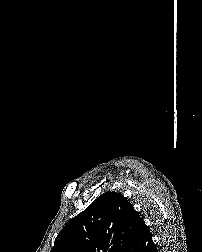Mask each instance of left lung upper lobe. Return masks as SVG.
Wrapping results in <instances>:
<instances>
[{"label": "left lung upper lobe", "mask_w": 202, "mask_h": 252, "mask_svg": "<svg viewBox=\"0 0 202 252\" xmlns=\"http://www.w3.org/2000/svg\"><path fill=\"white\" fill-rule=\"evenodd\" d=\"M141 221L125 197L105 192L64 226L50 252H132Z\"/></svg>", "instance_id": "5c2ea615"}]
</instances>
